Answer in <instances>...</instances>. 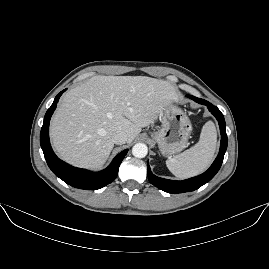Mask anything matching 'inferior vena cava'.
I'll return each instance as SVG.
<instances>
[{"mask_svg":"<svg viewBox=\"0 0 269 269\" xmlns=\"http://www.w3.org/2000/svg\"><path fill=\"white\" fill-rule=\"evenodd\" d=\"M112 141L115 143V144H118V145H121V144H124L126 143L127 141V134L125 131L119 129V130H116L113 134H112Z\"/></svg>","mask_w":269,"mask_h":269,"instance_id":"obj_1","label":"inferior vena cava"}]
</instances>
